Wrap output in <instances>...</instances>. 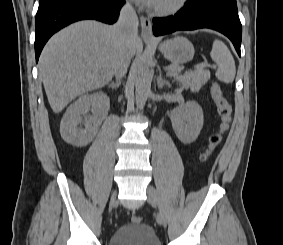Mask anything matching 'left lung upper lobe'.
Here are the masks:
<instances>
[{"instance_id":"left-lung-upper-lobe-1","label":"left lung upper lobe","mask_w":283,"mask_h":245,"mask_svg":"<svg viewBox=\"0 0 283 245\" xmlns=\"http://www.w3.org/2000/svg\"><path fill=\"white\" fill-rule=\"evenodd\" d=\"M190 7H221L237 11L236 0H188Z\"/></svg>"}]
</instances>
